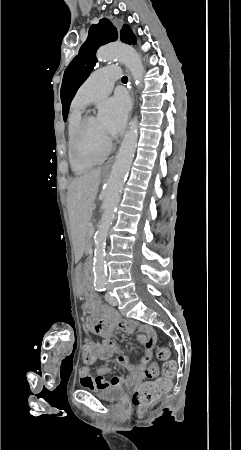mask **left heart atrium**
<instances>
[{"mask_svg": "<svg viewBox=\"0 0 241 450\" xmlns=\"http://www.w3.org/2000/svg\"><path fill=\"white\" fill-rule=\"evenodd\" d=\"M108 111L111 113L109 129L113 135L121 133L125 127L130 103L127 97L120 95L106 103Z\"/></svg>", "mask_w": 241, "mask_h": 450, "instance_id": "39dd6f15", "label": "left heart atrium"}]
</instances>
